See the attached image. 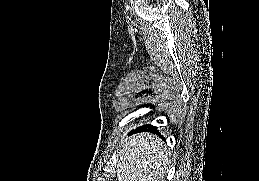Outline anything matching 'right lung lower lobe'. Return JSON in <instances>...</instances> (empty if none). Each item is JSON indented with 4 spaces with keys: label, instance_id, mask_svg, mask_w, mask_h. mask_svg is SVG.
<instances>
[{
    "label": "right lung lower lobe",
    "instance_id": "1",
    "mask_svg": "<svg viewBox=\"0 0 259 181\" xmlns=\"http://www.w3.org/2000/svg\"><path fill=\"white\" fill-rule=\"evenodd\" d=\"M139 132H152V133L160 134L159 131L157 130V128L150 124L140 126V127L136 128L135 130H132L129 134L139 133Z\"/></svg>",
    "mask_w": 259,
    "mask_h": 181
}]
</instances>
